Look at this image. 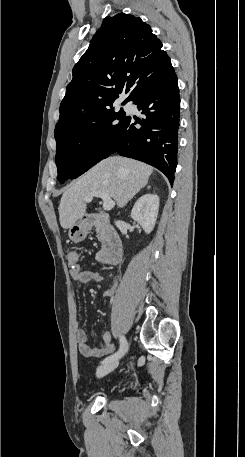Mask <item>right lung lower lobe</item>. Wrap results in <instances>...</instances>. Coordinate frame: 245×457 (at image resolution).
I'll return each instance as SVG.
<instances>
[{"mask_svg": "<svg viewBox=\"0 0 245 457\" xmlns=\"http://www.w3.org/2000/svg\"><path fill=\"white\" fill-rule=\"evenodd\" d=\"M129 101L145 119L126 116L113 153L146 162L174 181L178 153L180 97L173 68L143 83ZM142 127H135L136 124Z\"/></svg>", "mask_w": 245, "mask_h": 457, "instance_id": "1", "label": "right lung lower lobe"}]
</instances>
